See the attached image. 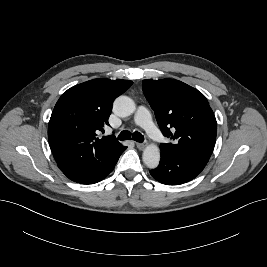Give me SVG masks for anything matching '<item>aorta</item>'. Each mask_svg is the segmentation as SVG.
<instances>
[{"label":"aorta","mask_w":267,"mask_h":267,"mask_svg":"<svg viewBox=\"0 0 267 267\" xmlns=\"http://www.w3.org/2000/svg\"><path fill=\"white\" fill-rule=\"evenodd\" d=\"M136 110V105L134 101L128 97L121 95L117 97L113 104V111L119 117H127L133 114ZM143 162L150 168L154 169L159 165L160 161V149L155 144H150L146 146L143 151Z\"/></svg>","instance_id":"aorta-1"}]
</instances>
